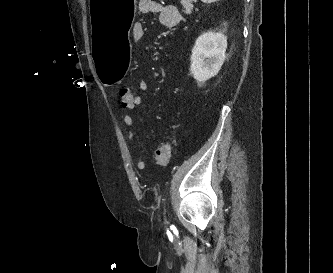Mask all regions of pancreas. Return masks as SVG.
I'll return each instance as SVG.
<instances>
[{"mask_svg": "<svg viewBox=\"0 0 333 273\" xmlns=\"http://www.w3.org/2000/svg\"><path fill=\"white\" fill-rule=\"evenodd\" d=\"M195 0H181V4L184 8V13L191 14L193 10V2Z\"/></svg>", "mask_w": 333, "mask_h": 273, "instance_id": "obj_1", "label": "pancreas"}]
</instances>
